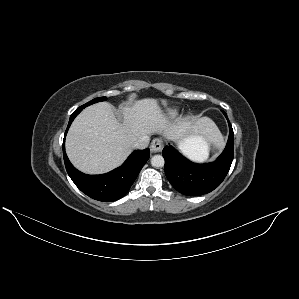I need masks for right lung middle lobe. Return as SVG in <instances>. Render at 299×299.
Listing matches in <instances>:
<instances>
[{
    "mask_svg": "<svg viewBox=\"0 0 299 299\" xmlns=\"http://www.w3.org/2000/svg\"><path fill=\"white\" fill-rule=\"evenodd\" d=\"M105 100H106V97H98V98H95V99L89 101L88 103H86V104H84V105H82V106H83V107H87V106H89V105H91V104H94V103H96V102L105 101Z\"/></svg>",
    "mask_w": 299,
    "mask_h": 299,
    "instance_id": "dd1d6c3e",
    "label": "right lung middle lobe"
}]
</instances>
